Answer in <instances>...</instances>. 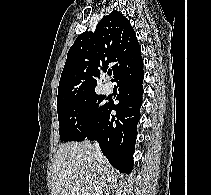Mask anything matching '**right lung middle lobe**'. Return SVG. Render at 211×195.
I'll return each instance as SVG.
<instances>
[{
	"label": "right lung middle lobe",
	"mask_w": 211,
	"mask_h": 195,
	"mask_svg": "<svg viewBox=\"0 0 211 195\" xmlns=\"http://www.w3.org/2000/svg\"><path fill=\"white\" fill-rule=\"evenodd\" d=\"M104 100L103 95L90 92L57 104L60 140L82 141L105 108Z\"/></svg>",
	"instance_id": "right-lung-middle-lobe-1"
}]
</instances>
